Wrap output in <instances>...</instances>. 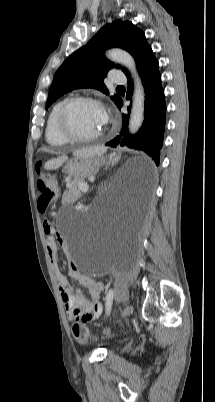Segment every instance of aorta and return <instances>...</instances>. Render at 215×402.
<instances>
[{"mask_svg": "<svg viewBox=\"0 0 215 402\" xmlns=\"http://www.w3.org/2000/svg\"><path fill=\"white\" fill-rule=\"evenodd\" d=\"M106 56L108 59L125 66L131 72V75L134 79L133 102L129 120V131L130 133L134 134L139 130L144 121L145 109L144 88L138 76L135 61L129 53L121 49H111L107 51Z\"/></svg>", "mask_w": 215, "mask_h": 402, "instance_id": "obj_1", "label": "aorta"}]
</instances>
